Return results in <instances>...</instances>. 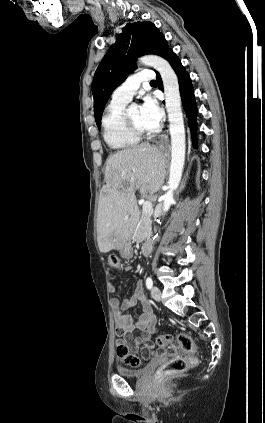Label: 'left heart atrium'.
<instances>
[{
    "instance_id": "1",
    "label": "left heart atrium",
    "mask_w": 265,
    "mask_h": 423,
    "mask_svg": "<svg viewBox=\"0 0 265 423\" xmlns=\"http://www.w3.org/2000/svg\"><path fill=\"white\" fill-rule=\"evenodd\" d=\"M141 116L144 122L151 128H156L163 118V111L157 101L151 97L145 98L140 107Z\"/></svg>"
}]
</instances>
